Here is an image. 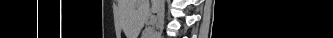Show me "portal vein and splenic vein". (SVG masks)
<instances>
[{
    "mask_svg": "<svg viewBox=\"0 0 333 38\" xmlns=\"http://www.w3.org/2000/svg\"><path fill=\"white\" fill-rule=\"evenodd\" d=\"M156 20H157V17H156L155 15H152V16L150 17V23H151V24H154V23L156 22Z\"/></svg>",
    "mask_w": 333,
    "mask_h": 38,
    "instance_id": "obj_1",
    "label": "portal vein and splenic vein"
}]
</instances>
